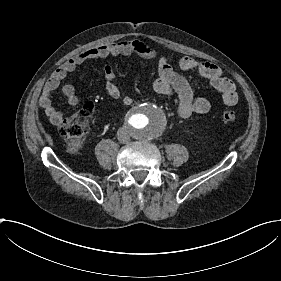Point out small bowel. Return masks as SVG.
I'll list each match as a JSON object with an SVG mask.
<instances>
[{
  "label": "small bowel",
  "mask_w": 281,
  "mask_h": 281,
  "mask_svg": "<svg viewBox=\"0 0 281 281\" xmlns=\"http://www.w3.org/2000/svg\"><path fill=\"white\" fill-rule=\"evenodd\" d=\"M138 55L144 59L155 61L159 53L156 49L143 43L138 39H126L114 43H106L99 47L89 48L78 56L67 61L51 79L45 84L41 97V108L55 127H60L65 118L63 113L56 109L51 101L53 92L68 74L74 72L80 65L100 58ZM180 67L184 71L200 74L211 81L222 94L223 102L227 106H235L238 102V95L235 83L223 75L219 66L210 62H199L186 56L180 60ZM105 80V91L112 99L122 98V102L128 105L132 102L130 95H123L118 84V77L115 69L105 65L102 70ZM153 89L162 94L175 93L174 104L178 115L188 119L193 113H205L210 109L209 101L204 97H194L188 80L176 72L168 58H161L157 65V77L153 81ZM67 103L74 107L78 104L75 87L66 84L62 89Z\"/></svg>",
  "instance_id": "1"
}]
</instances>
